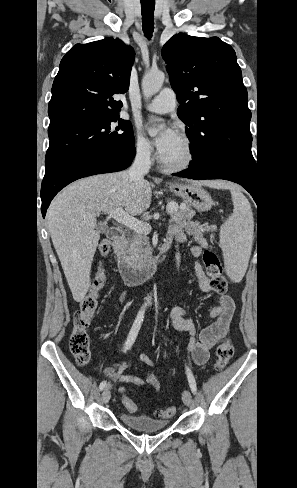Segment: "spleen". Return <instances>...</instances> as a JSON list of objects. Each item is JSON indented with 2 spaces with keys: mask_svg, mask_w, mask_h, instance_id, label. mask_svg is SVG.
Returning <instances> with one entry per match:
<instances>
[{
  "mask_svg": "<svg viewBox=\"0 0 297 488\" xmlns=\"http://www.w3.org/2000/svg\"><path fill=\"white\" fill-rule=\"evenodd\" d=\"M230 189L234 209L220 228V244L227 275L233 282H240L252 251L254 219L247 198L238 188Z\"/></svg>",
  "mask_w": 297,
  "mask_h": 488,
  "instance_id": "1",
  "label": "spleen"
}]
</instances>
